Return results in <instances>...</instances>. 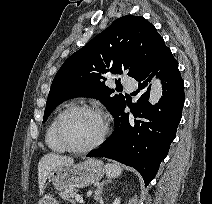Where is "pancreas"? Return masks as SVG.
Instances as JSON below:
<instances>
[{"instance_id":"pancreas-1","label":"pancreas","mask_w":212,"mask_h":204,"mask_svg":"<svg viewBox=\"0 0 212 204\" xmlns=\"http://www.w3.org/2000/svg\"><path fill=\"white\" fill-rule=\"evenodd\" d=\"M63 200L75 204V200L73 199L76 195V190L73 188H66L59 194Z\"/></svg>"}]
</instances>
